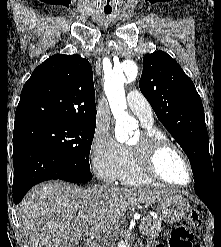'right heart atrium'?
I'll list each match as a JSON object with an SVG mask.
<instances>
[{"mask_svg":"<svg viewBox=\"0 0 221 247\" xmlns=\"http://www.w3.org/2000/svg\"><path fill=\"white\" fill-rule=\"evenodd\" d=\"M124 146L104 129H97L89 148L93 172L101 179L112 182L119 176Z\"/></svg>","mask_w":221,"mask_h":247,"instance_id":"right-heart-atrium-1","label":"right heart atrium"}]
</instances>
